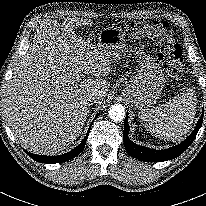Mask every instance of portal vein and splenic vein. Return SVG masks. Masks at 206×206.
<instances>
[{
	"instance_id": "portal-vein-and-splenic-vein-1",
	"label": "portal vein and splenic vein",
	"mask_w": 206,
	"mask_h": 206,
	"mask_svg": "<svg viewBox=\"0 0 206 206\" xmlns=\"http://www.w3.org/2000/svg\"><path fill=\"white\" fill-rule=\"evenodd\" d=\"M75 76L78 80H80L83 77V75L81 74V71L79 69H77L75 71Z\"/></svg>"
}]
</instances>
